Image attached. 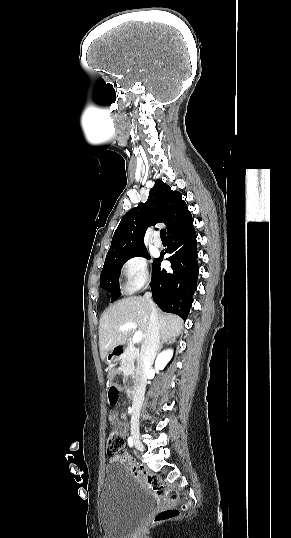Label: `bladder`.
<instances>
[{"mask_svg":"<svg viewBox=\"0 0 291 538\" xmlns=\"http://www.w3.org/2000/svg\"><path fill=\"white\" fill-rule=\"evenodd\" d=\"M154 507L125 465L113 463L105 468L99 509L105 534L111 538L127 536Z\"/></svg>","mask_w":291,"mask_h":538,"instance_id":"bladder-1","label":"bladder"}]
</instances>
